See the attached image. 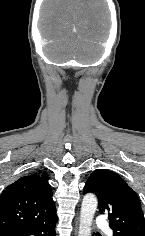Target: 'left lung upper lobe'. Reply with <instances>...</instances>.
I'll use <instances>...</instances> for the list:
<instances>
[{"label":"left lung upper lobe","mask_w":145,"mask_h":236,"mask_svg":"<svg viewBox=\"0 0 145 236\" xmlns=\"http://www.w3.org/2000/svg\"><path fill=\"white\" fill-rule=\"evenodd\" d=\"M89 192L98 197L100 213L108 215L113 236H145L139 198L119 175L107 169L94 171L83 190Z\"/></svg>","instance_id":"left-lung-upper-lobe-1"}]
</instances>
